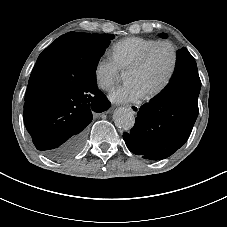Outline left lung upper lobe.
<instances>
[{
	"label": "left lung upper lobe",
	"instance_id": "5c2ea615",
	"mask_svg": "<svg viewBox=\"0 0 227 227\" xmlns=\"http://www.w3.org/2000/svg\"><path fill=\"white\" fill-rule=\"evenodd\" d=\"M161 37H162V38H166L167 35H166L165 33H162V34H161Z\"/></svg>",
	"mask_w": 227,
	"mask_h": 227
}]
</instances>
